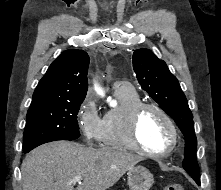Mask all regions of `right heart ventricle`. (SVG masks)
<instances>
[{"instance_id":"e07e8e85","label":"right heart ventricle","mask_w":221,"mask_h":190,"mask_svg":"<svg viewBox=\"0 0 221 190\" xmlns=\"http://www.w3.org/2000/svg\"><path fill=\"white\" fill-rule=\"evenodd\" d=\"M114 96L118 104L109 109L102 118L101 144L104 148L134 151L129 144L126 127L130 110L142 99L130 84L115 85Z\"/></svg>"}]
</instances>
